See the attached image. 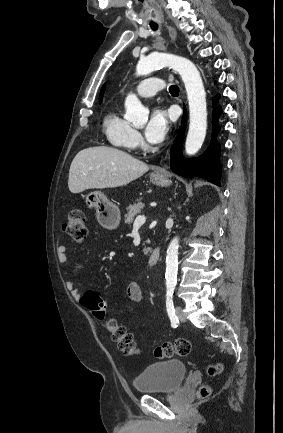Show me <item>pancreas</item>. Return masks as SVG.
Returning <instances> with one entry per match:
<instances>
[{
  "label": "pancreas",
  "instance_id": "cf45deb5",
  "mask_svg": "<svg viewBox=\"0 0 283 433\" xmlns=\"http://www.w3.org/2000/svg\"><path fill=\"white\" fill-rule=\"evenodd\" d=\"M143 206L144 204H142V202H134V204H129V206H127V214H125L124 223L131 225L136 217V214L141 212ZM151 251V247H145L144 249L145 255H148V253H151Z\"/></svg>",
  "mask_w": 283,
  "mask_h": 433
}]
</instances>
